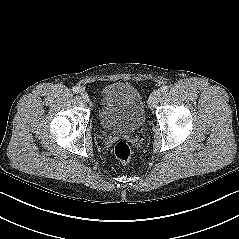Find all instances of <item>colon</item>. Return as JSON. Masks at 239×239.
I'll return each mask as SVG.
<instances>
[{
    "label": "colon",
    "mask_w": 239,
    "mask_h": 239,
    "mask_svg": "<svg viewBox=\"0 0 239 239\" xmlns=\"http://www.w3.org/2000/svg\"><path fill=\"white\" fill-rule=\"evenodd\" d=\"M113 153L120 162L127 163L131 158L132 150L127 142L121 140L115 144Z\"/></svg>",
    "instance_id": "obj_1"
}]
</instances>
